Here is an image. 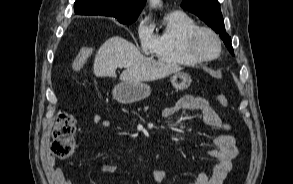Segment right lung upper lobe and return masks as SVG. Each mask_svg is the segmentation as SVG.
I'll list each match as a JSON object with an SVG mask.
<instances>
[{"instance_id": "cb5924a9", "label": "right lung upper lobe", "mask_w": 293, "mask_h": 184, "mask_svg": "<svg viewBox=\"0 0 293 184\" xmlns=\"http://www.w3.org/2000/svg\"><path fill=\"white\" fill-rule=\"evenodd\" d=\"M146 0H76L74 11L79 15L114 17L119 22L137 19Z\"/></svg>"}]
</instances>
